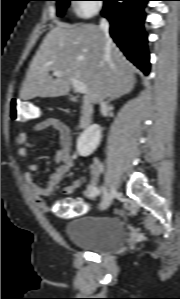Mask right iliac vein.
I'll use <instances>...</instances> for the list:
<instances>
[{"label":"right iliac vein","instance_id":"63e3f726","mask_svg":"<svg viewBox=\"0 0 180 299\" xmlns=\"http://www.w3.org/2000/svg\"><path fill=\"white\" fill-rule=\"evenodd\" d=\"M115 195H116V190L112 188L107 193V195L103 198V200H102V202L100 204V209L101 210L107 209L110 206V204L112 203V200L115 197Z\"/></svg>","mask_w":180,"mask_h":299}]
</instances>
